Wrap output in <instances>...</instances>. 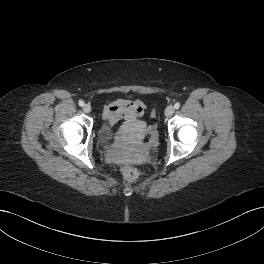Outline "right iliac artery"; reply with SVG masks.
Returning a JSON list of instances; mask_svg holds the SVG:
<instances>
[{
  "label": "right iliac artery",
  "mask_w": 264,
  "mask_h": 264,
  "mask_svg": "<svg viewBox=\"0 0 264 264\" xmlns=\"http://www.w3.org/2000/svg\"><path fill=\"white\" fill-rule=\"evenodd\" d=\"M78 104H79V106L82 107L84 105V102L82 100H80Z\"/></svg>",
  "instance_id": "obj_1"
}]
</instances>
